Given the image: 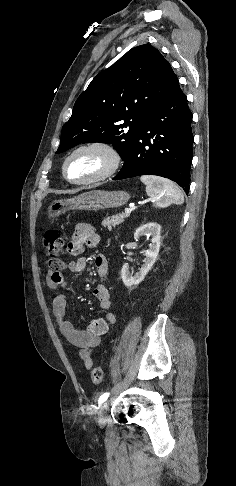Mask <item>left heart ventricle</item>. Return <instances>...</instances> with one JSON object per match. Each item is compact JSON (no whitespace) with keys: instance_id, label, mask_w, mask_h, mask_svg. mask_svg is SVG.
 Instances as JSON below:
<instances>
[{"instance_id":"b2bd125f","label":"left heart ventricle","mask_w":236,"mask_h":486,"mask_svg":"<svg viewBox=\"0 0 236 486\" xmlns=\"http://www.w3.org/2000/svg\"><path fill=\"white\" fill-rule=\"evenodd\" d=\"M107 166L106 155L99 150H84L68 163L67 173L73 180H85L101 173Z\"/></svg>"}]
</instances>
